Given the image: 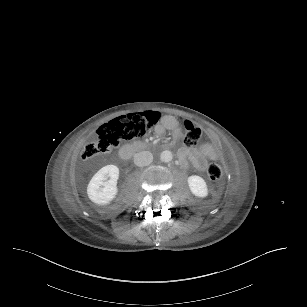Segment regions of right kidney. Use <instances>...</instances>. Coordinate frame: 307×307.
I'll use <instances>...</instances> for the list:
<instances>
[{
	"instance_id": "ca27d5eb",
	"label": "right kidney",
	"mask_w": 307,
	"mask_h": 307,
	"mask_svg": "<svg viewBox=\"0 0 307 307\" xmlns=\"http://www.w3.org/2000/svg\"><path fill=\"white\" fill-rule=\"evenodd\" d=\"M119 176V168L115 165H107L101 168L88 184L87 195L89 200L98 206L110 204L118 194L117 181ZM108 177H110V180L104 182L103 180L108 179Z\"/></svg>"
}]
</instances>
